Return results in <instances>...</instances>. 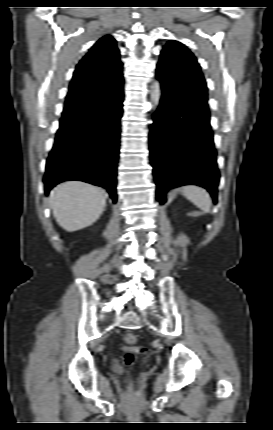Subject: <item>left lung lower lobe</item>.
Segmentation results:
<instances>
[{"label":"left lung lower lobe","mask_w":273,"mask_h":430,"mask_svg":"<svg viewBox=\"0 0 273 430\" xmlns=\"http://www.w3.org/2000/svg\"><path fill=\"white\" fill-rule=\"evenodd\" d=\"M162 98L153 115L150 152L160 204L168 189L185 184L206 188L217 202L219 171L209 113L178 96L170 79L156 72Z\"/></svg>","instance_id":"1"}]
</instances>
